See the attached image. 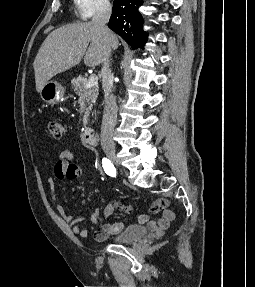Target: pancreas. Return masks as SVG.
Returning a JSON list of instances; mask_svg holds the SVG:
<instances>
[{"mask_svg": "<svg viewBox=\"0 0 255 287\" xmlns=\"http://www.w3.org/2000/svg\"><path fill=\"white\" fill-rule=\"evenodd\" d=\"M87 78H83V76H78V78H74L71 80V88H73L75 94H86V104L88 108H86V112L83 118L84 126H87V120L89 118V114L93 108V104H95L98 98V86H90V88H85V84H87Z\"/></svg>", "mask_w": 255, "mask_h": 287, "instance_id": "pancreas-1", "label": "pancreas"}]
</instances>
